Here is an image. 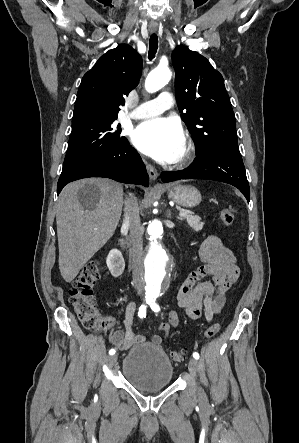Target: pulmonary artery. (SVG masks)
Instances as JSON below:
<instances>
[{
    "instance_id": "obj_1",
    "label": "pulmonary artery",
    "mask_w": 299,
    "mask_h": 443,
    "mask_svg": "<svg viewBox=\"0 0 299 443\" xmlns=\"http://www.w3.org/2000/svg\"><path fill=\"white\" fill-rule=\"evenodd\" d=\"M174 105L170 92H161L157 99L143 102L127 116L133 119H146L159 115Z\"/></svg>"
}]
</instances>
